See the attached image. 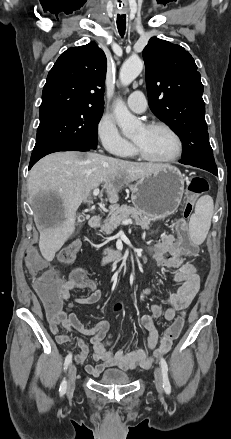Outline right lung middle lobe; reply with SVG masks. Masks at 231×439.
Masks as SVG:
<instances>
[{
	"mask_svg": "<svg viewBox=\"0 0 231 439\" xmlns=\"http://www.w3.org/2000/svg\"><path fill=\"white\" fill-rule=\"evenodd\" d=\"M103 109L77 108L40 117L34 151L73 145L97 148V129Z\"/></svg>",
	"mask_w": 231,
	"mask_h": 439,
	"instance_id": "obj_1",
	"label": "right lung middle lobe"
}]
</instances>
